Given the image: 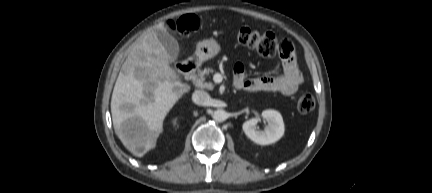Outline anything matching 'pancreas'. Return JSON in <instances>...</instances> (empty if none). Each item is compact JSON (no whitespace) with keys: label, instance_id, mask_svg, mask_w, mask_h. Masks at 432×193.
<instances>
[{"label":"pancreas","instance_id":"obj_1","mask_svg":"<svg viewBox=\"0 0 432 193\" xmlns=\"http://www.w3.org/2000/svg\"><path fill=\"white\" fill-rule=\"evenodd\" d=\"M213 72L214 69L210 67L204 68L203 70L199 69L192 79L194 85L198 88L212 90L214 88V85L212 82L206 81V76Z\"/></svg>","mask_w":432,"mask_h":193}]
</instances>
